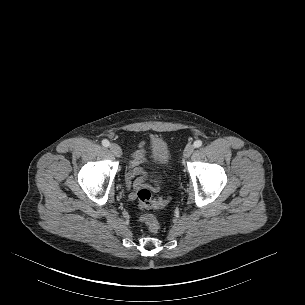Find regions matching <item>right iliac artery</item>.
Returning <instances> with one entry per match:
<instances>
[{
    "mask_svg": "<svg viewBox=\"0 0 305 305\" xmlns=\"http://www.w3.org/2000/svg\"><path fill=\"white\" fill-rule=\"evenodd\" d=\"M102 145H103L104 147H108V146L110 145V142H109L107 139H104V140L102 141Z\"/></svg>",
    "mask_w": 305,
    "mask_h": 305,
    "instance_id": "82829eb1",
    "label": "right iliac artery"
}]
</instances>
